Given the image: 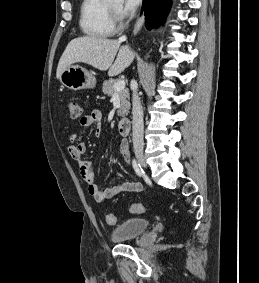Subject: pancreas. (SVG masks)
<instances>
[{
  "label": "pancreas",
  "mask_w": 259,
  "mask_h": 283,
  "mask_svg": "<svg viewBox=\"0 0 259 283\" xmlns=\"http://www.w3.org/2000/svg\"><path fill=\"white\" fill-rule=\"evenodd\" d=\"M118 80L109 79L103 82V93L108 95L109 97H113L115 94H118L120 100V107L117 111L118 116H125L128 114L130 109L129 102V90L123 89L119 92H116L114 89V85Z\"/></svg>",
  "instance_id": "obj_1"
}]
</instances>
